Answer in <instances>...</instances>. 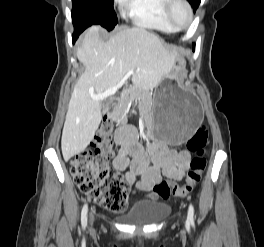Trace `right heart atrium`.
I'll use <instances>...</instances> for the list:
<instances>
[{
	"label": "right heart atrium",
	"instance_id": "d8ad5b80",
	"mask_svg": "<svg viewBox=\"0 0 264 247\" xmlns=\"http://www.w3.org/2000/svg\"><path fill=\"white\" fill-rule=\"evenodd\" d=\"M115 1L118 3L121 11L126 10L129 7L130 2H131V0H115Z\"/></svg>",
	"mask_w": 264,
	"mask_h": 247
}]
</instances>
